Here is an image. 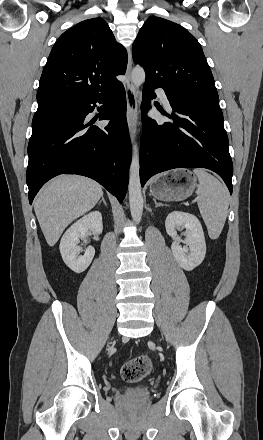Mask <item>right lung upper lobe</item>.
I'll use <instances>...</instances> for the list:
<instances>
[{
  "mask_svg": "<svg viewBox=\"0 0 263 440\" xmlns=\"http://www.w3.org/2000/svg\"><path fill=\"white\" fill-rule=\"evenodd\" d=\"M127 54L102 18L82 21L54 44L37 92L38 107L68 103L104 91L119 81Z\"/></svg>",
  "mask_w": 263,
  "mask_h": 440,
  "instance_id": "right-lung-upper-lobe-1",
  "label": "right lung upper lobe"
}]
</instances>
